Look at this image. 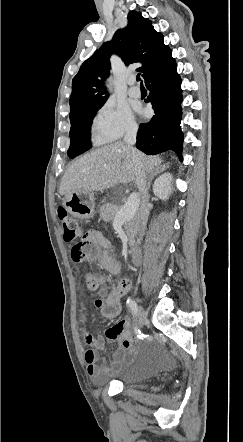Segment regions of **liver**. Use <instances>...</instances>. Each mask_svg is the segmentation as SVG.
Instances as JSON below:
<instances>
[{"instance_id":"6515ba94","label":"liver","mask_w":243,"mask_h":442,"mask_svg":"<svg viewBox=\"0 0 243 442\" xmlns=\"http://www.w3.org/2000/svg\"><path fill=\"white\" fill-rule=\"evenodd\" d=\"M143 170L150 173L162 163L159 156H147L135 150ZM135 180V164L132 149L123 142H116L97 148L79 159L67 169L59 187L60 195L72 191H104L118 183Z\"/></svg>"}]
</instances>
